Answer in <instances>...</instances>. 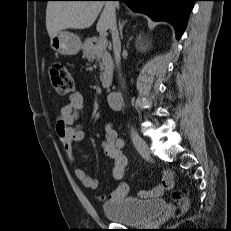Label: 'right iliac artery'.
<instances>
[{
	"instance_id": "right-iliac-artery-1",
	"label": "right iliac artery",
	"mask_w": 231,
	"mask_h": 231,
	"mask_svg": "<svg viewBox=\"0 0 231 231\" xmlns=\"http://www.w3.org/2000/svg\"><path fill=\"white\" fill-rule=\"evenodd\" d=\"M119 146H120V148H123V147H124V141H123V139H120V140H119Z\"/></svg>"
}]
</instances>
